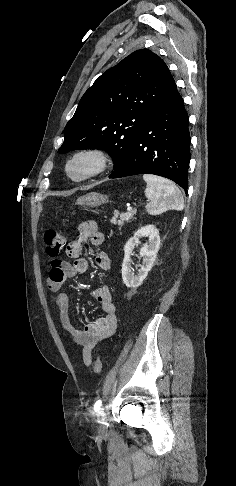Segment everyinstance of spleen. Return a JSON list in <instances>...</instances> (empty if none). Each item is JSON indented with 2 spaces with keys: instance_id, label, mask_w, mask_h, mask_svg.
<instances>
[{
  "instance_id": "3e777b00",
  "label": "spleen",
  "mask_w": 236,
  "mask_h": 486,
  "mask_svg": "<svg viewBox=\"0 0 236 486\" xmlns=\"http://www.w3.org/2000/svg\"><path fill=\"white\" fill-rule=\"evenodd\" d=\"M147 186L145 196L149 199L146 210L155 215L169 209L182 210L184 199L179 188L171 181L152 174H144Z\"/></svg>"
}]
</instances>
